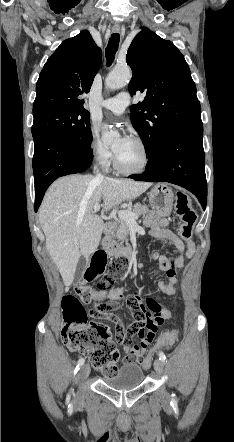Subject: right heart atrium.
I'll return each mask as SVG.
<instances>
[{"instance_id": "d8ad5b80", "label": "right heart atrium", "mask_w": 234, "mask_h": 442, "mask_svg": "<svg viewBox=\"0 0 234 442\" xmlns=\"http://www.w3.org/2000/svg\"><path fill=\"white\" fill-rule=\"evenodd\" d=\"M89 151L92 160L100 167H108L112 161L111 150L101 141L98 134L92 130L89 140Z\"/></svg>"}]
</instances>
